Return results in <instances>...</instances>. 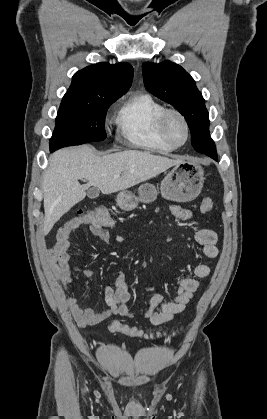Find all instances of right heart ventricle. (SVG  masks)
I'll list each match as a JSON object with an SVG mask.
<instances>
[{"label":"right heart ventricle","mask_w":267,"mask_h":419,"mask_svg":"<svg viewBox=\"0 0 267 419\" xmlns=\"http://www.w3.org/2000/svg\"><path fill=\"white\" fill-rule=\"evenodd\" d=\"M165 106L148 93L130 96L120 107L115 124L118 133L135 147L167 154L174 148L158 133V117Z\"/></svg>","instance_id":"e07e8e85"}]
</instances>
